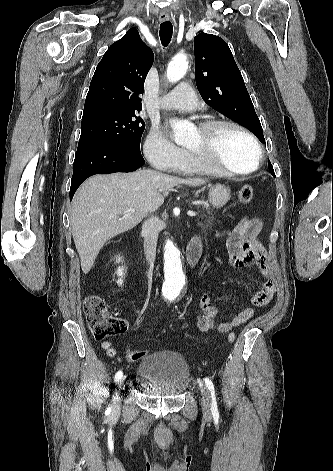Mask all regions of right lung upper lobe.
<instances>
[{
  "instance_id": "1",
  "label": "right lung upper lobe",
  "mask_w": 333,
  "mask_h": 471,
  "mask_svg": "<svg viewBox=\"0 0 333 471\" xmlns=\"http://www.w3.org/2000/svg\"><path fill=\"white\" fill-rule=\"evenodd\" d=\"M153 63L152 50L131 28L113 43L97 65L83 117L119 110H141L144 81Z\"/></svg>"
}]
</instances>
